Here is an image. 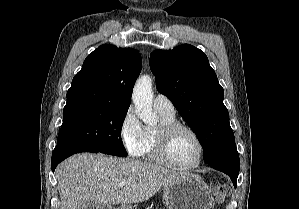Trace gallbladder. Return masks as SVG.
I'll use <instances>...</instances> for the list:
<instances>
[{"label": "gallbladder", "mask_w": 299, "mask_h": 209, "mask_svg": "<svg viewBox=\"0 0 299 209\" xmlns=\"http://www.w3.org/2000/svg\"><path fill=\"white\" fill-rule=\"evenodd\" d=\"M83 209H100L99 204L94 200H88L84 206Z\"/></svg>", "instance_id": "gallbladder-1"}]
</instances>
